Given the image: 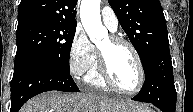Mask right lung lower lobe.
<instances>
[{
  "label": "right lung lower lobe",
  "instance_id": "obj_1",
  "mask_svg": "<svg viewBox=\"0 0 193 112\" xmlns=\"http://www.w3.org/2000/svg\"><path fill=\"white\" fill-rule=\"evenodd\" d=\"M51 90L79 91L70 72L44 61L32 62L14 70L11 82V109L18 112L33 96Z\"/></svg>",
  "mask_w": 193,
  "mask_h": 112
}]
</instances>
